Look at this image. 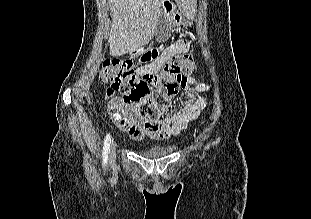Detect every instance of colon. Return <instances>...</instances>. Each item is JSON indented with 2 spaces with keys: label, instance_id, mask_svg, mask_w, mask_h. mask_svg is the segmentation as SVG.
Listing matches in <instances>:
<instances>
[{
  "label": "colon",
  "instance_id": "obj_1",
  "mask_svg": "<svg viewBox=\"0 0 311 219\" xmlns=\"http://www.w3.org/2000/svg\"><path fill=\"white\" fill-rule=\"evenodd\" d=\"M194 68L192 56L175 55L166 62L159 74L139 75L132 61L113 58L102 61L99 77L103 83L109 84L105 95L115 114H118V104L124 103L136 107L147 120L156 121L179 90L187 85ZM116 93H120L121 97L115 96Z\"/></svg>",
  "mask_w": 311,
  "mask_h": 219
}]
</instances>
